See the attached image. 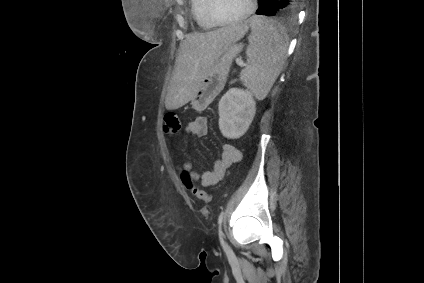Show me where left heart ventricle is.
<instances>
[{
  "label": "left heart ventricle",
  "instance_id": "b2bd125f",
  "mask_svg": "<svg viewBox=\"0 0 424 283\" xmlns=\"http://www.w3.org/2000/svg\"><path fill=\"white\" fill-rule=\"evenodd\" d=\"M249 7V0H215V14L225 20L241 16Z\"/></svg>",
  "mask_w": 424,
  "mask_h": 283
}]
</instances>
